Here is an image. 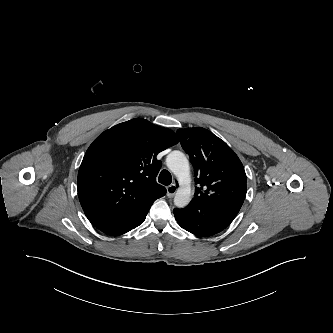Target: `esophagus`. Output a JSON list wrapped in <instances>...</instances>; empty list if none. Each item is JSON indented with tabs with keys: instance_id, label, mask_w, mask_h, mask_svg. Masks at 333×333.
I'll list each match as a JSON object with an SVG mask.
<instances>
[{
	"instance_id": "34e87169",
	"label": "esophagus",
	"mask_w": 333,
	"mask_h": 333,
	"mask_svg": "<svg viewBox=\"0 0 333 333\" xmlns=\"http://www.w3.org/2000/svg\"><path fill=\"white\" fill-rule=\"evenodd\" d=\"M176 191H177V185L174 182L173 184H171L170 186H168V188H167V196L169 198H172L175 195Z\"/></svg>"
}]
</instances>
